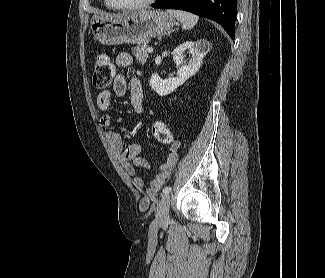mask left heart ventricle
<instances>
[{
  "instance_id": "left-heart-ventricle-1",
  "label": "left heart ventricle",
  "mask_w": 325,
  "mask_h": 278,
  "mask_svg": "<svg viewBox=\"0 0 325 278\" xmlns=\"http://www.w3.org/2000/svg\"><path fill=\"white\" fill-rule=\"evenodd\" d=\"M119 4H136L143 2L145 0H115Z\"/></svg>"
}]
</instances>
